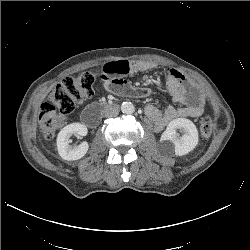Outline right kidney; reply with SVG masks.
<instances>
[{
	"label": "right kidney",
	"mask_w": 250,
	"mask_h": 250,
	"mask_svg": "<svg viewBox=\"0 0 250 250\" xmlns=\"http://www.w3.org/2000/svg\"><path fill=\"white\" fill-rule=\"evenodd\" d=\"M87 133V127L78 122L65 126L57 137V149L61 158L68 161L81 159L87 153L89 145L87 142H82L80 145L72 148L69 145V143L72 142L70 137L73 134L77 136H86Z\"/></svg>",
	"instance_id": "ca27d5eb"
}]
</instances>
